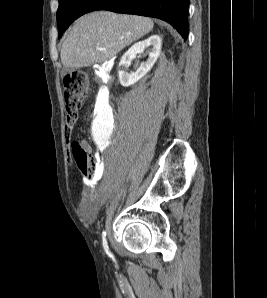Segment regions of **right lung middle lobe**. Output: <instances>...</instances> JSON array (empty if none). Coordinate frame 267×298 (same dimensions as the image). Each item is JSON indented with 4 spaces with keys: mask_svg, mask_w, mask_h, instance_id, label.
I'll use <instances>...</instances> for the list:
<instances>
[{
    "mask_svg": "<svg viewBox=\"0 0 267 298\" xmlns=\"http://www.w3.org/2000/svg\"><path fill=\"white\" fill-rule=\"evenodd\" d=\"M99 0H59L57 22L59 38L69 25L81 15L90 12Z\"/></svg>",
    "mask_w": 267,
    "mask_h": 298,
    "instance_id": "right-lung-middle-lobe-1",
    "label": "right lung middle lobe"
}]
</instances>
